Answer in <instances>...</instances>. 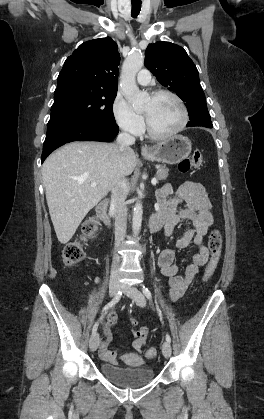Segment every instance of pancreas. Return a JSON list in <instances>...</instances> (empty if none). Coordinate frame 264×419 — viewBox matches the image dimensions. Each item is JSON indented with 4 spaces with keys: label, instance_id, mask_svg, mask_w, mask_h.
<instances>
[{
    "label": "pancreas",
    "instance_id": "obj_1",
    "mask_svg": "<svg viewBox=\"0 0 264 419\" xmlns=\"http://www.w3.org/2000/svg\"><path fill=\"white\" fill-rule=\"evenodd\" d=\"M168 168L165 165H161L158 167L156 177L158 180H165L168 177Z\"/></svg>",
    "mask_w": 264,
    "mask_h": 419
}]
</instances>
